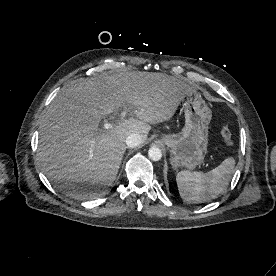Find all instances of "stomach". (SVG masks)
Instances as JSON below:
<instances>
[{
	"mask_svg": "<svg viewBox=\"0 0 276 276\" xmlns=\"http://www.w3.org/2000/svg\"><path fill=\"white\" fill-rule=\"evenodd\" d=\"M185 126L179 134H165L162 142L170 152L172 167L195 169L204 162L208 147V129L212 117L210 108L195 91L183 103Z\"/></svg>",
	"mask_w": 276,
	"mask_h": 276,
	"instance_id": "stomach-1",
	"label": "stomach"
}]
</instances>
